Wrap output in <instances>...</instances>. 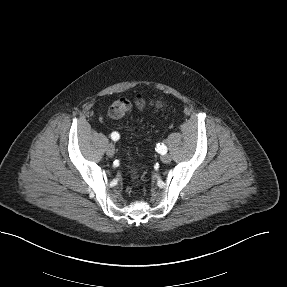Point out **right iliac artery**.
<instances>
[{"label": "right iliac artery", "instance_id": "obj_1", "mask_svg": "<svg viewBox=\"0 0 287 287\" xmlns=\"http://www.w3.org/2000/svg\"><path fill=\"white\" fill-rule=\"evenodd\" d=\"M111 138H112L114 141H117V140L120 138V136H119V134H118L117 132H113V133L111 134Z\"/></svg>", "mask_w": 287, "mask_h": 287}]
</instances>
